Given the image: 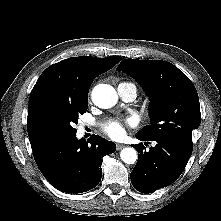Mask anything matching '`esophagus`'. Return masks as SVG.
<instances>
[{"instance_id":"obj_1","label":"esophagus","mask_w":221,"mask_h":221,"mask_svg":"<svg viewBox=\"0 0 221 221\" xmlns=\"http://www.w3.org/2000/svg\"><path fill=\"white\" fill-rule=\"evenodd\" d=\"M124 147H125L124 144H117V145H116L117 150H121V149H123Z\"/></svg>"}]
</instances>
